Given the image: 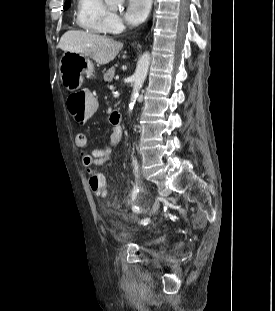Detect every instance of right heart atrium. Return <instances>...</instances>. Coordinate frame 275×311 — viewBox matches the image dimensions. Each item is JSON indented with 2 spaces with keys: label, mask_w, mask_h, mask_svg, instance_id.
Returning <instances> with one entry per match:
<instances>
[{
  "label": "right heart atrium",
  "mask_w": 275,
  "mask_h": 311,
  "mask_svg": "<svg viewBox=\"0 0 275 311\" xmlns=\"http://www.w3.org/2000/svg\"><path fill=\"white\" fill-rule=\"evenodd\" d=\"M108 27L109 30L112 32L119 31L122 28L121 19L117 14L111 13L109 17Z\"/></svg>",
  "instance_id": "1"
}]
</instances>
